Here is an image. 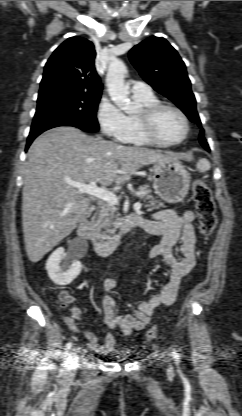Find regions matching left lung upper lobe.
<instances>
[{"label": "left lung upper lobe", "instance_id": "1", "mask_svg": "<svg viewBox=\"0 0 242 416\" xmlns=\"http://www.w3.org/2000/svg\"><path fill=\"white\" fill-rule=\"evenodd\" d=\"M129 59L148 84L201 126L186 66L166 39L152 36L142 41L130 50ZM203 133L201 130L200 142L205 141Z\"/></svg>", "mask_w": 242, "mask_h": 416}]
</instances>
